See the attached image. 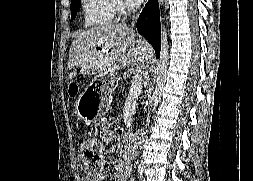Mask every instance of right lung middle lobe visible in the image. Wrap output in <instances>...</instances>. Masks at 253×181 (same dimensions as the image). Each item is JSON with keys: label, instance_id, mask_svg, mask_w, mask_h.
Segmentation results:
<instances>
[{"label": "right lung middle lobe", "instance_id": "obj_1", "mask_svg": "<svg viewBox=\"0 0 253 181\" xmlns=\"http://www.w3.org/2000/svg\"><path fill=\"white\" fill-rule=\"evenodd\" d=\"M80 10V0H71V20H74Z\"/></svg>", "mask_w": 253, "mask_h": 181}]
</instances>
